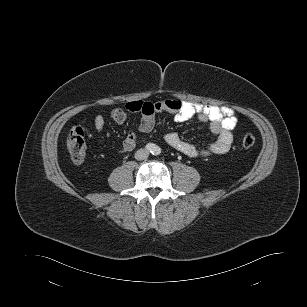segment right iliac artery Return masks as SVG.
I'll return each mask as SVG.
<instances>
[{
  "label": "right iliac artery",
  "instance_id": "1",
  "mask_svg": "<svg viewBox=\"0 0 307 307\" xmlns=\"http://www.w3.org/2000/svg\"><path fill=\"white\" fill-rule=\"evenodd\" d=\"M155 146L152 143H148L146 145V149L149 150L150 152H152L154 150Z\"/></svg>",
  "mask_w": 307,
  "mask_h": 307
}]
</instances>
